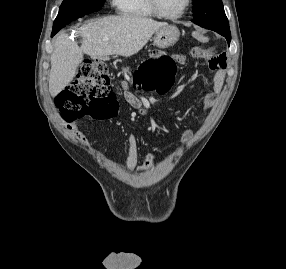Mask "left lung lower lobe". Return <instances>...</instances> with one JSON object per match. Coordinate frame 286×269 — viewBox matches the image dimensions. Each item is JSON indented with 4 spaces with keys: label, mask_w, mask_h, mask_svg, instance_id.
<instances>
[{
    "label": "left lung lower lobe",
    "mask_w": 286,
    "mask_h": 269,
    "mask_svg": "<svg viewBox=\"0 0 286 269\" xmlns=\"http://www.w3.org/2000/svg\"><path fill=\"white\" fill-rule=\"evenodd\" d=\"M215 32H217V33L221 34L222 36H224L227 39L228 45L230 44V41H231L230 30H217Z\"/></svg>",
    "instance_id": "obj_1"
}]
</instances>
